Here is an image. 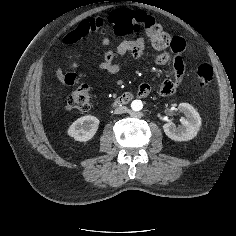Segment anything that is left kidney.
<instances>
[{
    "instance_id": "obj_1",
    "label": "left kidney",
    "mask_w": 236,
    "mask_h": 236,
    "mask_svg": "<svg viewBox=\"0 0 236 236\" xmlns=\"http://www.w3.org/2000/svg\"><path fill=\"white\" fill-rule=\"evenodd\" d=\"M186 118L181 120L182 126L176 127L172 122L163 125L165 134L174 141H189L199 132L201 117L196 109L188 103H180L178 106Z\"/></svg>"
}]
</instances>
